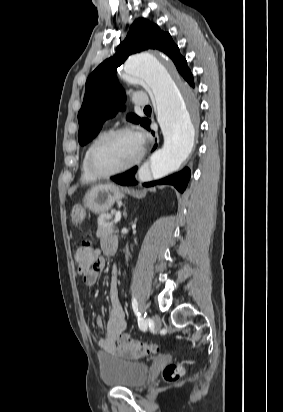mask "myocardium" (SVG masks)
I'll list each match as a JSON object with an SVG mask.
<instances>
[{
    "mask_svg": "<svg viewBox=\"0 0 283 412\" xmlns=\"http://www.w3.org/2000/svg\"><path fill=\"white\" fill-rule=\"evenodd\" d=\"M126 133H130V134H134L133 130L129 127H120V128H115L112 129L106 133H104L90 148L89 153H88V157H87V165H88V169L91 172V174L94 176V178H109L112 177L116 174L122 173L124 171H127L129 169H131L132 167H134L135 165H137L143 158L144 156V148L143 146H141L140 151L138 153V155L136 156V158L131 161L129 164L120 167L118 169L109 171V172H101L99 171L94 163V159L96 156V153L98 152V150L109 140H111L113 137L120 135V134H126Z\"/></svg>",
    "mask_w": 283,
    "mask_h": 412,
    "instance_id": "1",
    "label": "myocardium"
}]
</instances>
